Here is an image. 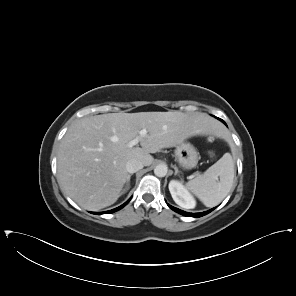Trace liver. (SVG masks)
<instances>
[{
    "mask_svg": "<svg viewBox=\"0 0 296 296\" xmlns=\"http://www.w3.org/2000/svg\"><path fill=\"white\" fill-rule=\"evenodd\" d=\"M147 130L141 147L128 143ZM195 135H218L215 121L205 113H108L84 117L61 140L57 178L63 192L84 209L96 211L114 204L127 183L126 164L137 159L153 163L150 153L175 147Z\"/></svg>",
    "mask_w": 296,
    "mask_h": 296,
    "instance_id": "obj_1",
    "label": "liver"
}]
</instances>
